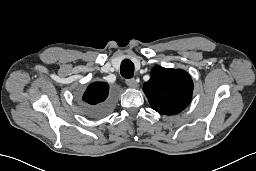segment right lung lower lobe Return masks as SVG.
Returning <instances> with one entry per match:
<instances>
[{
	"instance_id": "right-lung-lower-lobe-1",
	"label": "right lung lower lobe",
	"mask_w": 256,
	"mask_h": 171,
	"mask_svg": "<svg viewBox=\"0 0 256 171\" xmlns=\"http://www.w3.org/2000/svg\"><path fill=\"white\" fill-rule=\"evenodd\" d=\"M111 109H112V100L108 99L107 101L101 104L86 107L84 112H85V115L90 118H99L109 113Z\"/></svg>"
}]
</instances>
